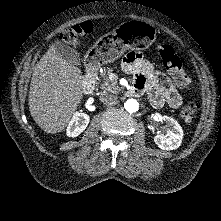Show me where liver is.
<instances>
[{
  "label": "liver",
  "instance_id": "1",
  "mask_svg": "<svg viewBox=\"0 0 221 221\" xmlns=\"http://www.w3.org/2000/svg\"><path fill=\"white\" fill-rule=\"evenodd\" d=\"M83 98L82 71L51 46L36 64L29 91V110L45 132H62Z\"/></svg>",
  "mask_w": 221,
  "mask_h": 221
}]
</instances>
